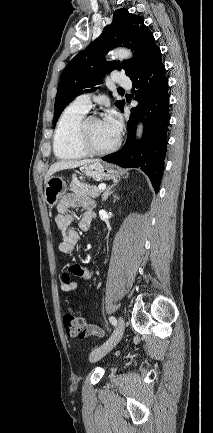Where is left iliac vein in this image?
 <instances>
[{
    "label": "left iliac vein",
    "mask_w": 213,
    "mask_h": 433,
    "mask_svg": "<svg viewBox=\"0 0 213 433\" xmlns=\"http://www.w3.org/2000/svg\"><path fill=\"white\" fill-rule=\"evenodd\" d=\"M125 329V322L122 317H119L118 324L109 337V339L103 343L100 347L93 350L90 354V362H95L105 356L109 351H111L121 340Z\"/></svg>",
    "instance_id": "4c4485c4"
}]
</instances>
